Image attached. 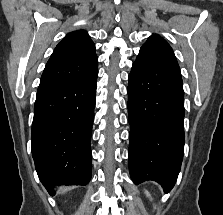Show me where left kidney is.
I'll list each match as a JSON object with an SVG mask.
<instances>
[{"label": "left kidney", "instance_id": "obj_1", "mask_svg": "<svg viewBox=\"0 0 223 215\" xmlns=\"http://www.w3.org/2000/svg\"><path fill=\"white\" fill-rule=\"evenodd\" d=\"M147 195H149V191H146Z\"/></svg>", "mask_w": 223, "mask_h": 215}]
</instances>
